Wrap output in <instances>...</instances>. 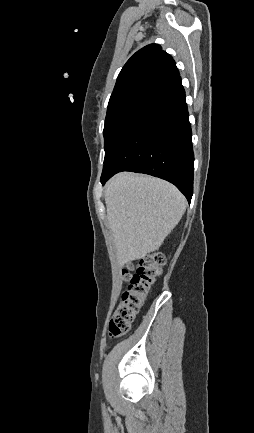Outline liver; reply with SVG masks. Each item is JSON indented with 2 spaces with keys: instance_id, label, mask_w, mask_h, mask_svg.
<instances>
[{
  "instance_id": "1",
  "label": "liver",
  "mask_w": 254,
  "mask_h": 433,
  "mask_svg": "<svg viewBox=\"0 0 254 433\" xmlns=\"http://www.w3.org/2000/svg\"><path fill=\"white\" fill-rule=\"evenodd\" d=\"M105 203L120 266L158 250L186 210V199L175 186L132 173L107 183Z\"/></svg>"
}]
</instances>
